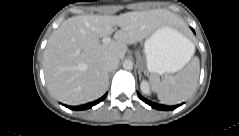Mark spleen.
I'll list each match as a JSON object with an SVG mask.
<instances>
[{"mask_svg":"<svg viewBox=\"0 0 239 136\" xmlns=\"http://www.w3.org/2000/svg\"><path fill=\"white\" fill-rule=\"evenodd\" d=\"M193 54L194 45L192 44L189 61ZM199 72V60L198 58H193L181 72L174 76L160 80L157 75H151L149 79L158 99L163 104L174 105L184 101L194 92L198 83Z\"/></svg>","mask_w":239,"mask_h":136,"instance_id":"spleen-1","label":"spleen"}]
</instances>
